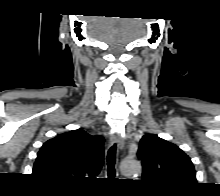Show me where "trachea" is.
Masks as SVG:
<instances>
[{
  "label": "trachea",
  "mask_w": 220,
  "mask_h": 196,
  "mask_svg": "<svg viewBox=\"0 0 220 196\" xmlns=\"http://www.w3.org/2000/svg\"><path fill=\"white\" fill-rule=\"evenodd\" d=\"M116 144H114L107 154V174L109 179L115 176V162H116Z\"/></svg>",
  "instance_id": "3493384b"
}]
</instances>
